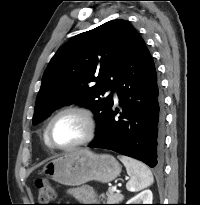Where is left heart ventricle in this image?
<instances>
[{
	"mask_svg": "<svg viewBox=\"0 0 200 205\" xmlns=\"http://www.w3.org/2000/svg\"><path fill=\"white\" fill-rule=\"evenodd\" d=\"M85 134L83 119L73 113L59 117L52 126V139L58 145H70L80 140Z\"/></svg>",
	"mask_w": 200,
	"mask_h": 205,
	"instance_id": "1",
	"label": "left heart ventricle"
}]
</instances>
